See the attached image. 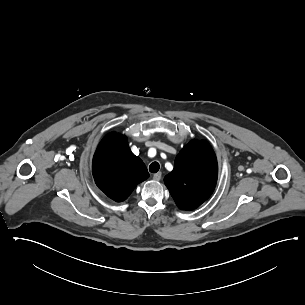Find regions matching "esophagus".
<instances>
[{
  "instance_id": "34e87169",
  "label": "esophagus",
  "mask_w": 305,
  "mask_h": 305,
  "mask_svg": "<svg viewBox=\"0 0 305 305\" xmlns=\"http://www.w3.org/2000/svg\"><path fill=\"white\" fill-rule=\"evenodd\" d=\"M161 177H162V173L161 172L155 173L153 175V180L159 181L161 179Z\"/></svg>"
}]
</instances>
